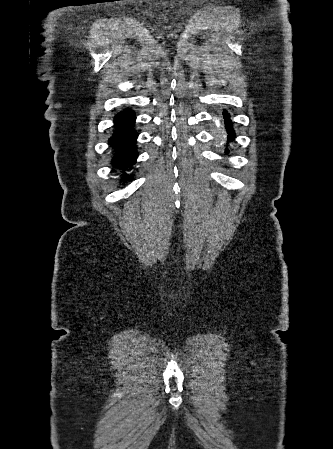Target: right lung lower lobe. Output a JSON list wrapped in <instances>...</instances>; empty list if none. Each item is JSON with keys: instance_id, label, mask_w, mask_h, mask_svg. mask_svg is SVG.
<instances>
[{"instance_id": "right-lung-lower-lobe-1", "label": "right lung lower lobe", "mask_w": 333, "mask_h": 449, "mask_svg": "<svg viewBox=\"0 0 333 449\" xmlns=\"http://www.w3.org/2000/svg\"><path fill=\"white\" fill-rule=\"evenodd\" d=\"M136 116L130 109L118 113L114 117L115 129L109 138V144L114 154L112 164L116 171L120 172L125 183L132 177L126 174L135 164L137 159L136 139L137 132L134 130Z\"/></svg>"}]
</instances>
